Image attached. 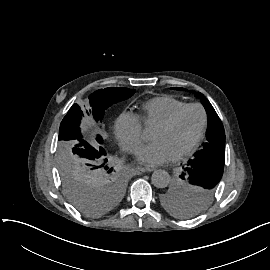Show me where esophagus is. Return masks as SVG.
Here are the masks:
<instances>
[{
    "label": "esophagus",
    "instance_id": "1",
    "mask_svg": "<svg viewBox=\"0 0 270 270\" xmlns=\"http://www.w3.org/2000/svg\"><path fill=\"white\" fill-rule=\"evenodd\" d=\"M154 169H155L154 166H152V165H147V166L141 167V168H140V171H141V172H151V171H153Z\"/></svg>",
    "mask_w": 270,
    "mask_h": 270
}]
</instances>
